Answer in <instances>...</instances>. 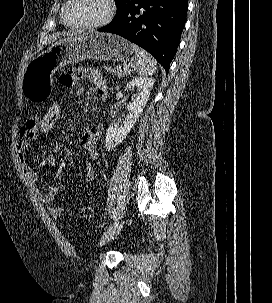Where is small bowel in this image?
Here are the masks:
<instances>
[{
    "mask_svg": "<svg viewBox=\"0 0 272 303\" xmlns=\"http://www.w3.org/2000/svg\"><path fill=\"white\" fill-rule=\"evenodd\" d=\"M89 79L94 83L95 91L98 96L104 99L107 96V84L98 70L82 67L72 69L60 76V83L67 87L75 86L79 81ZM39 118L31 114L25 120L20 129V139L18 142V157L19 163L24 173L25 178L33 186L36 198L43 204L49 205L52 203L55 195L58 192V187L51 185L47 192L41 191L38 187V174L30 164L28 150L34 139L40 136L38 132ZM102 128L100 124H95L85 131L79 139V147L83 150L88 158L92 161L97 160V141L101 136ZM56 158L52 153H49L38 165L39 169L46 166H54ZM84 186H88L95 178V172L91 163L84 165ZM50 213L55 217H60L63 209L59 206H52L49 208Z\"/></svg>",
    "mask_w": 272,
    "mask_h": 303,
    "instance_id": "1",
    "label": "small bowel"
}]
</instances>
